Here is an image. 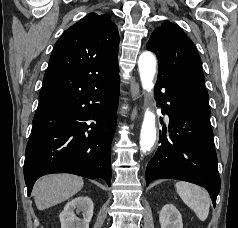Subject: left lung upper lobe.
<instances>
[{
	"instance_id": "1",
	"label": "left lung upper lobe",
	"mask_w": 238,
	"mask_h": 228,
	"mask_svg": "<svg viewBox=\"0 0 238 228\" xmlns=\"http://www.w3.org/2000/svg\"><path fill=\"white\" fill-rule=\"evenodd\" d=\"M146 48L158 59V80L169 79L208 103L201 59L192 40L169 21L156 28Z\"/></svg>"
}]
</instances>
